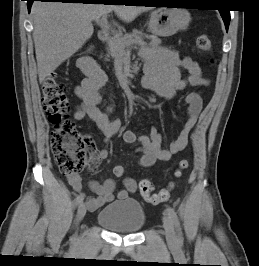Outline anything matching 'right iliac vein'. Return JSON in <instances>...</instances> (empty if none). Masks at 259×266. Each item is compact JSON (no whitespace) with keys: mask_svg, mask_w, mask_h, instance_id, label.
Masks as SVG:
<instances>
[{"mask_svg":"<svg viewBox=\"0 0 259 266\" xmlns=\"http://www.w3.org/2000/svg\"><path fill=\"white\" fill-rule=\"evenodd\" d=\"M86 205L85 204H81L78 208V211H77V221L80 222L85 214H86Z\"/></svg>","mask_w":259,"mask_h":266,"instance_id":"obj_1","label":"right iliac vein"}]
</instances>
